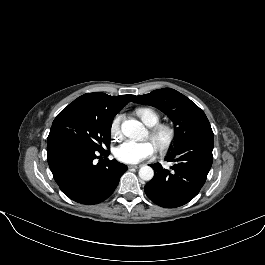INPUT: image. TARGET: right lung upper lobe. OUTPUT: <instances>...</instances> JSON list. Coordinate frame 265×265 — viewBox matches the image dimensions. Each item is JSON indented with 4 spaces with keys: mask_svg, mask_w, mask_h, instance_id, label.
Listing matches in <instances>:
<instances>
[{
    "mask_svg": "<svg viewBox=\"0 0 265 265\" xmlns=\"http://www.w3.org/2000/svg\"><path fill=\"white\" fill-rule=\"evenodd\" d=\"M133 97L134 95H120L114 97L105 93H86L75 99L64 110H82L100 117L113 119Z\"/></svg>",
    "mask_w": 265,
    "mask_h": 265,
    "instance_id": "cb5924a9",
    "label": "right lung upper lobe"
}]
</instances>
